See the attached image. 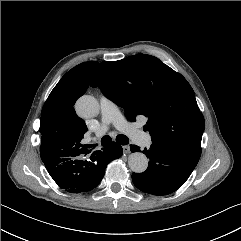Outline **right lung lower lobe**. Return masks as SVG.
<instances>
[{"label": "right lung lower lobe", "mask_w": 241, "mask_h": 241, "mask_svg": "<svg viewBox=\"0 0 241 241\" xmlns=\"http://www.w3.org/2000/svg\"><path fill=\"white\" fill-rule=\"evenodd\" d=\"M89 153L90 150L86 149L63 157L44 154L41 159L60 188L70 193H81L92 190L100 183L107 165L121 157L123 150L119 144L112 142L86 159Z\"/></svg>", "instance_id": "98d812e1"}]
</instances>
